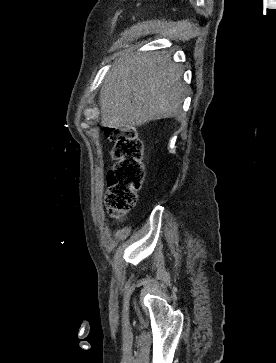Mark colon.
Wrapping results in <instances>:
<instances>
[{"label":"colon","instance_id":"1","mask_svg":"<svg viewBox=\"0 0 276 363\" xmlns=\"http://www.w3.org/2000/svg\"><path fill=\"white\" fill-rule=\"evenodd\" d=\"M107 138L113 143V167L107 173L105 203L112 220H121L137 201L144 177L142 142L132 127H109Z\"/></svg>","mask_w":276,"mask_h":363}]
</instances>
